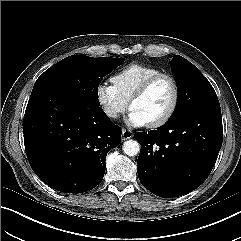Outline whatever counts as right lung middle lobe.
Returning <instances> with one entry per match:
<instances>
[{
	"instance_id": "dd1d6c3e",
	"label": "right lung middle lobe",
	"mask_w": 241,
	"mask_h": 241,
	"mask_svg": "<svg viewBox=\"0 0 241 241\" xmlns=\"http://www.w3.org/2000/svg\"><path fill=\"white\" fill-rule=\"evenodd\" d=\"M123 61L124 58H92L84 55L66 57L40 75L30 98L60 93L88 106L99 107L98 86L101 80Z\"/></svg>"
}]
</instances>
